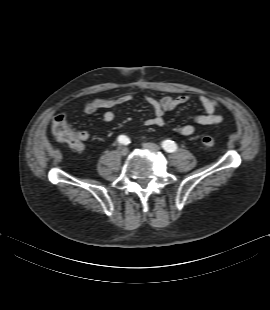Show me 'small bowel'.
Listing matches in <instances>:
<instances>
[{
	"mask_svg": "<svg viewBox=\"0 0 270 310\" xmlns=\"http://www.w3.org/2000/svg\"><path fill=\"white\" fill-rule=\"evenodd\" d=\"M132 98V94H123L115 97L90 98L83 100L82 105L84 112L87 114H92L99 109H105L103 120L110 123L115 119V114L110 109L115 105L127 103ZM190 98L191 97L187 94H182L177 97L164 96L160 99L146 95L145 100L152 107L154 114L152 117L145 120V125L163 127L165 125V113L187 103ZM199 101L204 109V113L196 115L194 117V122L203 126L221 123L222 117L215 113L220 103L216 99L205 95L200 96ZM174 130L183 136H191L195 132V128L191 124L178 125ZM76 132L79 135V141L81 143V147L77 148V150H81L83 144L89 139V133L87 131Z\"/></svg>",
	"mask_w": 270,
	"mask_h": 310,
	"instance_id": "small-bowel-1",
	"label": "small bowel"
}]
</instances>
